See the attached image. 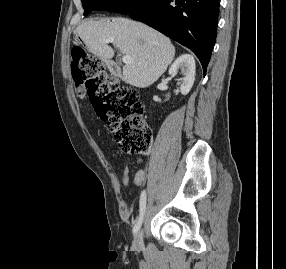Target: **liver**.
Here are the masks:
<instances>
[{
    "label": "liver",
    "mask_w": 286,
    "mask_h": 269,
    "mask_svg": "<svg viewBox=\"0 0 286 269\" xmlns=\"http://www.w3.org/2000/svg\"><path fill=\"white\" fill-rule=\"evenodd\" d=\"M75 32L88 51L105 62L114 56V50L104 40L113 38L116 48L133 57V62L123 67V76L135 87L152 85L174 59L175 48L168 37L129 19L87 20Z\"/></svg>",
    "instance_id": "1"
}]
</instances>
